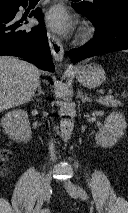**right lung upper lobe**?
<instances>
[{"label": "right lung upper lobe", "mask_w": 128, "mask_h": 213, "mask_svg": "<svg viewBox=\"0 0 128 213\" xmlns=\"http://www.w3.org/2000/svg\"><path fill=\"white\" fill-rule=\"evenodd\" d=\"M26 0H0V8L13 7Z\"/></svg>", "instance_id": "1"}]
</instances>
